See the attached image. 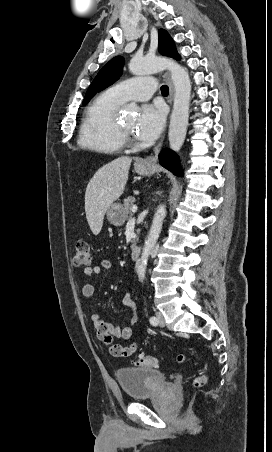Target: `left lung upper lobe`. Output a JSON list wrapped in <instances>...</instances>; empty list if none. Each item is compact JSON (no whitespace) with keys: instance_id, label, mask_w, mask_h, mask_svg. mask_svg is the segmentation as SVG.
Masks as SVG:
<instances>
[{"instance_id":"left-lung-upper-lobe-1","label":"left lung upper lobe","mask_w":272,"mask_h":452,"mask_svg":"<svg viewBox=\"0 0 272 452\" xmlns=\"http://www.w3.org/2000/svg\"><path fill=\"white\" fill-rule=\"evenodd\" d=\"M158 42L160 54L175 58L177 60L180 59L172 38L163 29L159 30ZM123 64L124 58L116 56L102 67L93 82L90 84L84 97L83 105L87 104L97 92L107 88L120 78L122 75Z\"/></svg>"}]
</instances>
